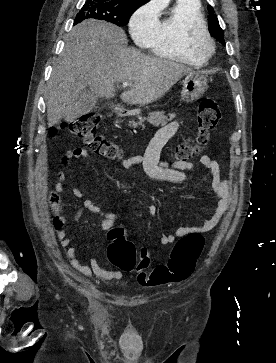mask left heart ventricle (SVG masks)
Segmentation results:
<instances>
[{
  "label": "left heart ventricle",
  "instance_id": "b2bd125f",
  "mask_svg": "<svg viewBox=\"0 0 276 363\" xmlns=\"http://www.w3.org/2000/svg\"><path fill=\"white\" fill-rule=\"evenodd\" d=\"M195 44L200 48V49H207V41L205 40L203 35H199L196 39H195Z\"/></svg>",
  "mask_w": 276,
  "mask_h": 363
}]
</instances>
